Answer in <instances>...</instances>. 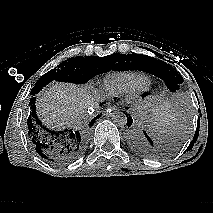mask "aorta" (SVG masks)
<instances>
[{"mask_svg": "<svg viewBox=\"0 0 213 213\" xmlns=\"http://www.w3.org/2000/svg\"><path fill=\"white\" fill-rule=\"evenodd\" d=\"M112 121L119 127H124L127 124V116L123 112H117L112 116Z\"/></svg>", "mask_w": 213, "mask_h": 213, "instance_id": "1", "label": "aorta"}]
</instances>
